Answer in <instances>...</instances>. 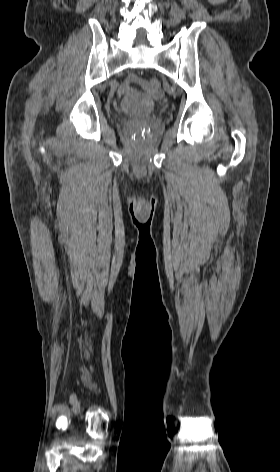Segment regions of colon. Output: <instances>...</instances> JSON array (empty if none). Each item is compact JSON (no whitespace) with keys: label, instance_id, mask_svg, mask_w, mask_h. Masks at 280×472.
Listing matches in <instances>:
<instances>
[{"label":"colon","instance_id":"colon-1","mask_svg":"<svg viewBox=\"0 0 280 472\" xmlns=\"http://www.w3.org/2000/svg\"><path fill=\"white\" fill-rule=\"evenodd\" d=\"M148 89L155 93L159 94L160 93V84L156 79H151L147 82Z\"/></svg>","mask_w":280,"mask_h":472}]
</instances>
